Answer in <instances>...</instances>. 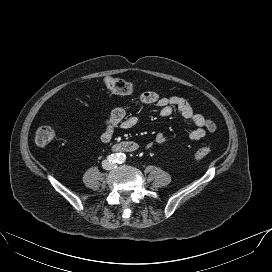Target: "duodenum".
I'll return each mask as SVG.
<instances>
[{"label": "duodenum", "mask_w": 272, "mask_h": 272, "mask_svg": "<svg viewBox=\"0 0 272 272\" xmlns=\"http://www.w3.org/2000/svg\"><path fill=\"white\" fill-rule=\"evenodd\" d=\"M138 149V146L134 142H121L113 145V150L123 153H132Z\"/></svg>", "instance_id": "duodenum-1"}]
</instances>
